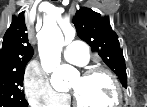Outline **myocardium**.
Masks as SVG:
<instances>
[{
    "instance_id": "f54148a6",
    "label": "myocardium",
    "mask_w": 147,
    "mask_h": 107,
    "mask_svg": "<svg viewBox=\"0 0 147 107\" xmlns=\"http://www.w3.org/2000/svg\"><path fill=\"white\" fill-rule=\"evenodd\" d=\"M98 74H103L107 76L114 85L116 97H115V102L111 107L120 106L123 99L122 86L117 76L113 72L103 67H91L83 72L82 77L90 78ZM73 104L75 107H89L81 103L75 95L73 96Z\"/></svg>"
}]
</instances>
